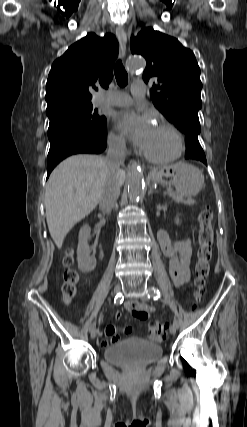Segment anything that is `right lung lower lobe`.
<instances>
[{"mask_svg": "<svg viewBox=\"0 0 247 427\" xmlns=\"http://www.w3.org/2000/svg\"><path fill=\"white\" fill-rule=\"evenodd\" d=\"M50 149L47 157V177L66 157L78 153L99 154L106 148V137L84 126L67 121L51 120L48 128Z\"/></svg>", "mask_w": 247, "mask_h": 427, "instance_id": "obj_1", "label": "right lung lower lobe"}]
</instances>
